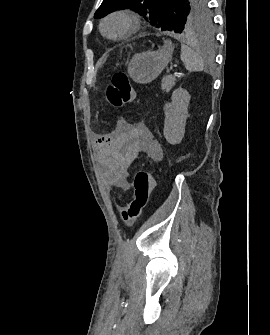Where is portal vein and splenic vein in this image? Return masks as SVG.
I'll return each instance as SVG.
<instances>
[{
    "label": "portal vein and splenic vein",
    "mask_w": 270,
    "mask_h": 335,
    "mask_svg": "<svg viewBox=\"0 0 270 335\" xmlns=\"http://www.w3.org/2000/svg\"><path fill=\"white\" fill-rule=\"evenodd\" d=\"M173 68H176V65H173ZM175 75L178 73L176 70L173 72Z\"/></svg>",
    "instance_id": "portal-vein-and-splenic-vein-1"
}]
</instances>
